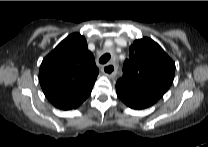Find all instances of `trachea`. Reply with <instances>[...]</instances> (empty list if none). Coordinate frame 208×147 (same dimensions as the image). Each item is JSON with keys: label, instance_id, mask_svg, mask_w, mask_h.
<instances>
[{"label": "trachea", "instance_id": "obj_1", "mask_svg": "<svg viewBox=\"0 0 208 147\" xmlns=\"http://www.w3.org/2000/svg\"><path fill=\"white\" fill-rule=\"evenodd\" d=\"M110 54L109 53H106V54H104V55H102L101 57H100V59H99V62L101 63V64H106L109 60H110Z\"/></svg>", "mask_w": 208, "mask_h": 147}]
</instances>
